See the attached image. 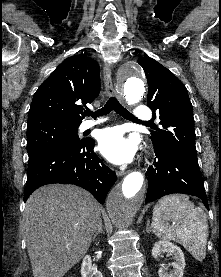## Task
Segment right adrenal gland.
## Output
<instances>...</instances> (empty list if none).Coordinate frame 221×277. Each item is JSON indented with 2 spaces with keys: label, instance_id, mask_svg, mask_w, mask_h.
<instances>
[{
  "label": "right adrenal gland",
  "instance_id": "1",
  "mask_svg": "<svg viewBox=\"0 0 221 277\" xmlns=\"http://www.w3.org/2000/svg\"><path fill=\"white\" fill-rule=\"evenodd\" d=\"M103 233V225H102V221L99 223L98 228L96 233L93 236V241L95 240V238L100 234Z\"/></svg>",
  "mask_w": 221,
  "mask_h": 277
}]
</instances>
